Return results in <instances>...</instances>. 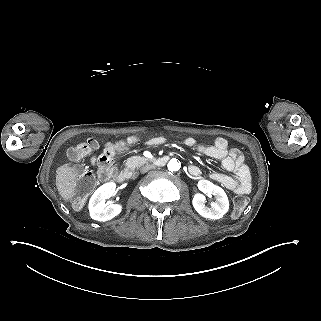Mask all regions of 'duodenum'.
Returning <instances> with one entry per match:
<instances>
[{"mask_svg": "<svg viewBox=\"0 0 321 321\" xmlns=\"http://www.w3.org/2000/svg\"><path fill=\"white\" fill-rule=\"evenodd\" d=\"M167 161H168V157H160L154 160V164L156 166H163L167 163ZM133 175L134 173L131 169L125 168L116 174V180L119 182H125L130 180L133 177Z\"/></svg>", "mask_w": 321, "mask_h": 321, "instance_id": "duodenum-1", "label": "duodenum"}]
</instances>
